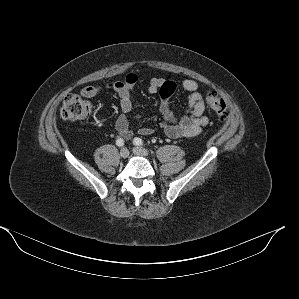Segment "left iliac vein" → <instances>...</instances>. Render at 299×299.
<instances>
[{
    "label": "left iliac vein",
    "mask_w": 299,
    "mask_h": 299,
    "mask_svg": "<svg viewBox=\"0 0 299 299\" xmlns=\"http://www.w3.org/2000/svg\"><path fill=\"white\" fill-rule=\"evenodd\" d=\"M133 153L135 155L144 156V157H147L149 155L148 150H146L143 147H138V146L133 148Z\"/></svg>",
    "instance_id": "obj_1"
}]
</instances>
